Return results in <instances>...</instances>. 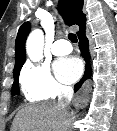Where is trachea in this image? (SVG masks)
Segmentation results:
<instances>
[{
    "mask_svg": "<svg viewBox=\"0 0 117 131\" xmlns=\"http://www.w3.org/2000/svg\"><path fill=\"white\" fill-rule=\"evenodd\" d=\"M68 37H69V40H70L71 42H73V43H76V42H77V36H76V34L70 33V34L68 35Z\"/></svg>",
    "mask_w": 117,
    "mask_h": 131,
    "instance_id": "3493384b",
    "label": "trachea"
}]
</instances>
